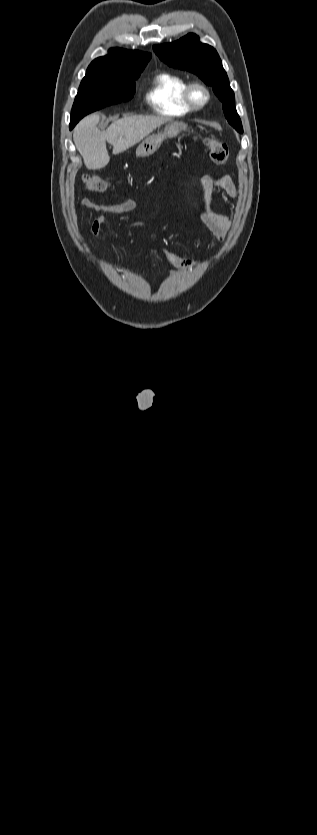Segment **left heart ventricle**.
Returning a JSON list of instances; mask_svg holds the SVG:
<instances>
[{
	"instance_id": "left-heart-ventricle-1",
	"label": "left heart ventricle",
	"mask_w": 317,
	"mask_h": 835,
	"mask_svg": "<svg viewBox=\"0 0 317 835\" xmlns=\"http://www.w3.org/2000/svg\"><path fill=\"white\" fill-rule=\"evenodd\" d=\"M194 96L197 101H202L204 98V93L200 90H196Z\"/></svg>"
}]
</instances>
